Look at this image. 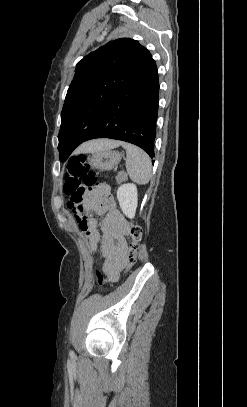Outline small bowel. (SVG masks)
I'll return each mask as SVG.
<instances>
[{
	"mask_svg": "<svg viewBox=\"0 0 247 407\" xmlns=\"http://www.w3.org/2000/svg\"><path fill=\"white\" fill-rule=\"evenodd\" d=\"M77 227L87 239L92 252L99 246L102 254L101 266L109 281H116L127 262L128 241L127 221L117 209L108 186L90 191L84 201L68 203ZM94 212L102 217L100 225L97 220L87 214Z\"/></svg>",
	"mask_w": 247,
	"mask_h": 407,
	"instance_id": "obj_1",
	"label": "small bowel"
}]
</instances>
